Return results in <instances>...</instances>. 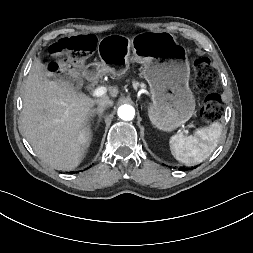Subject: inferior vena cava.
<instances>
[{
    "instance_id": "602c4592",
    "label": "inferior vena cava",
    "mask_w": 253,
    "mask_h": 253,
    "mask_svg": "<svg viewBox=\"0 0 253 253\" xmlns=\"http://www.w3.org/2000/svg\"><path fill=\"white\" fill-rule=\"evenodd\" d=\"M113 105V101L110 100L108 97L102 98L98 101L99 108H106Z\"/></svg>"
}]
</instances>
